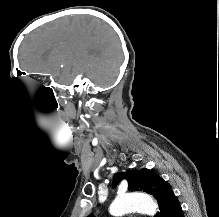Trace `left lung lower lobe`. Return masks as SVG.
Instances as JSON below:
<instances>
[{
  "mask_svg": "<svg viewBox=\"0 0 219 217\" xmlns=\"http://www.w3.org/2000/svg\"><path fill=\"white\" fill-rule=\"evenodd\" d=\"M168 217H184L180 203L174 204Z\"/></svg>",
  "mask_w": 219,
  "mask_h": 217,
  "instance_id": "left-lung-lower-lobe-1",
  "label": "left lung lower lobe"
}]
</instances>
